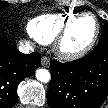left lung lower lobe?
Segmentation results:
<instances>
[{
  "mask_svg": "<svg viewBox=\"0 0 108 108\" xmlns=\"http://www.w3.org/2000/svg\"><path fill=\"white\" fill-rule=\"evenodd\" d=\"M50 72V108H99L108 97V44L98 43L78 60H53Z\"/></svg>",
  "mask_w": 108,
  "mask_h": 108,
  "instance_id": "1",
  "label": "left lung lower lobe"
}]
</instances>
